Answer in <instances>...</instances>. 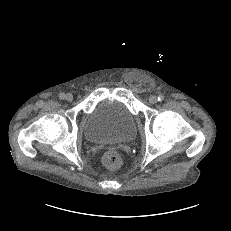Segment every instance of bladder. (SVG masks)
I'll return each instance as SVG.
<instances>
[{"label": "bladder", "instance_id": "31cf9c89", "mask_svg": "<svg viewBox=\"0 0 231 231\" xmlns=\"http://www.w3.org/2000/svg\"><path fill=\"white\" fill-rule=\"evenodd\" d=\"M84 135L94 144H125L136 138L137 124L123 104L103 100L88 114Z\"/></svg>", "mask_w": 231, "mask_h": 231}]
</instances>
